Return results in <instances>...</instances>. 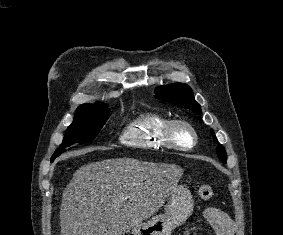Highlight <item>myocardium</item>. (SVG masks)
Wrapping results in <instances>:
<instances>
[{
  "label": "myocardium",
  "instance_id": "myocardium-1",
  "mask_svg": "<svg viewBox=\"0 0 283 235\" xmlns=\"http://www.w3.org/2000/svg\"><path fill=\"white\" fill-rule=\"evenodd\" d=\"M184 130L191 136V143L189 145L181 144L177 141V131ZM165 137L171 148L188 151L193 149L198 141V136L195 128L191 123L184 119H172L165 129Z\"/></svg>",
  "mask_w": 283,
  "mask_h": 235
}]
</instances>
